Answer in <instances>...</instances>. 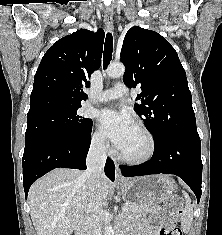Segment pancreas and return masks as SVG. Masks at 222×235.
<instances>
[{"label":"pancreas","mask_w":222,"mask_h":235,"mask_svg":"<svg viewBox=\"0 0 222 235\" xmlns=\"http://www.w3.org/2000/svg\"><path fill=\"white\" fill-rule=\"evenodd\" d=\"M127 208L128 211L126 212V215L128 216V219L132 222L140 220L143 216H145L148 213L159 214L161 210L159 206H154L146 209H138L131 205H127Z\"/></svg>","instance_id":"pancreas-1"}]
</instances>
